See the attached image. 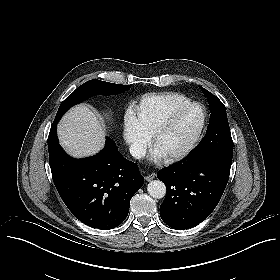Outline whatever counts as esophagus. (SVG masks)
<instances>
[{"mask_svg": "<svg viewBox=\"0 0 280 280\" xmlns=\"http://www.w3.org/2000/svg\"><path fill=\"white\" fill-rule=\"evenodd\" d=\"M155 178V174L154 173H152V174H150V175H147V176H144V179L146 180V181H151V180H153Z\"/></svg>", "mask_w": 280, "mask_h": 280, "instance_id": "obj_1", "label": "esophagus"}]
</instances>
